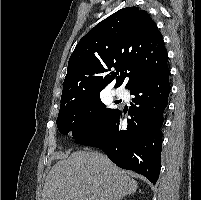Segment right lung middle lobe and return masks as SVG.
Here are the masks:
<instances>
[{
    "mask_svg": "<svg viewBox=\"0 0 201 200\" xmlns=\"http://www.w3.org/2000/svg\"><path fill=\"white\" fill-rule=\"evenodd\" d=\"M100 100V92L63 101L57 118L60 133L79 139L99 130L115 113Z\"/></svg>",
    "mask_w": 201,
    "mask_h": 200,
    "instance_id": "dd1d6c3e",
    "label": "right lung middle lobe"
}]
</instances>
